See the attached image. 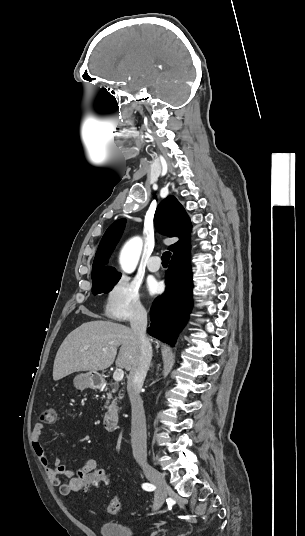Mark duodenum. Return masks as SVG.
I'll return each instance as SVG.
<instances>
[{
  "label": "duodenum",
  "instance_id": "obj_1",
  "mask_svg": "<svg viewBox=\"0 0 305 536\" xmlns=\"http://www.w3.org/2000/svg\"><path fill=\"white\" fill-rule=\"evenodd\" d=\"M92 383L96 388H102L105 386V381L98 376L93 378ZM102 422L106 431H116L119 427V416L113 409H108L103 415Z\"/></svg>",
  "mask_w": 305,
  "mask_h": 536
}]
</instances>
